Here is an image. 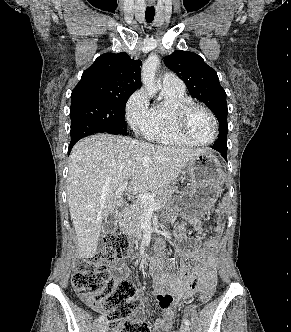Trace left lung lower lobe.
Here are the masks:
<instances>
[{"label": "left lung lower lobe", "mask_w": 291, "mask_h": 332, "mask_svg": "<svg viewBox=\"0 0 291 332\" xmlns=\"http://www.w3.org/2000/svg\"><path fill=\"white\" fill-rule=\"evenodd\" d=\"M213 149L217 150L222 154V156L227 161V143L222 140L216 141V143L212 146Z\"/></svg>", "instance_id": "1"}]
</instances>
